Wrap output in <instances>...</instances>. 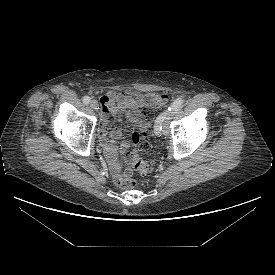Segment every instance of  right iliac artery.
I'll use <instances>...</instances> for the list:
<instances>
[{"instance_id":"82829eb1","label":"right iliac artery","mask_w":275,"mask_h":275,"mask_svg":"<svg viewBox=\"0 0 275 275\" xmlns=\"http://www.w3.org/2000/svg\"><path fill=\"white\" fill-rule=\"evenodd\" d=\"M83 102H84L85 104H89V102H90V97H89V96H84V97H83Z\"/></svg>"}]
</instances>
